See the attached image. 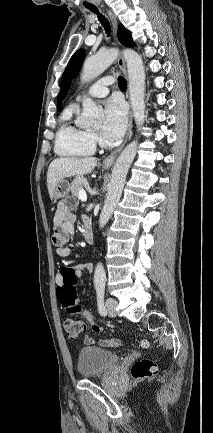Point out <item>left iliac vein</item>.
I'll list each match as a JSON object with an SVG mask.
<instances>
[{"instance_id": "1", "label": "left iliac vein", "mask_w": 213, "mask_h": 433, "mask_svg": "<svg viewBox=\"0 0 213 433\" xmlns=\"http://www.w3.org/2000/svg\"><path fill=\"white\" fill-rule=\"evenodd\" d=\"M117 301L114 298H108L106 300V312L110 317L116 316Z\"/></svg>"}]
</instances>
